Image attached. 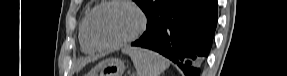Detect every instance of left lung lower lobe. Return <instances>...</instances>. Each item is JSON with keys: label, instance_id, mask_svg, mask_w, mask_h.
<instances>
[{"label": "left lung lower lobe", "instance_id": "0a47b994", "mask_svg": "<svg viewBox=\"0 0 287 76\" xmlns=\"http://www.w3.org/2000/svg\"><path fill=\"white\" fill-rule=\"evenodd\" d=\"M216 24V0H170L147 18L146 31L131 45L159 52L186 76H199Z\"/></svg>", "mask_w": 287, "mask_h": 76}]
</instances>
